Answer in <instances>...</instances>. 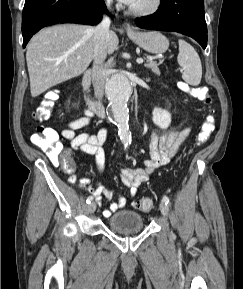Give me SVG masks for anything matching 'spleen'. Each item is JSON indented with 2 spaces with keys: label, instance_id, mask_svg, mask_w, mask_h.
Returning a JSON list of instances; mask_svg holds the SVG:
<instances>
[{
  "label": "spleen",
  "instance_id": "3e777b00",
  "mask_svg": "<svg viewBox=\"0 0 243 289\" xmlns=\"http://www.w3.org/2000/svg\"><path fill=\"white\" fill-rule=\"evenodd\" d=\"M179 54L177 61L184 69L182 74L183 80L192 85L197 86L202 78V65L198 53L186 41L179 39Z\"/></svg>",
  "mask_w": 243,
  "mask_h": 289
}]
</instances>
